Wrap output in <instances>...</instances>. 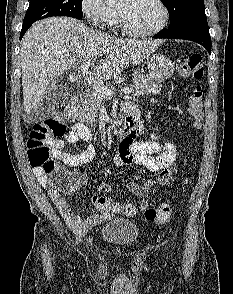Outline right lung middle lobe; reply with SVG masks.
I'll use <instances>...</instances> for the list:
<instances>
[{"mask_svg": "<svg viewBox=\"0 0 233 294\" xmlns=\"http://www.w3.org/2000/svg\"><path fill=\"white\" fill-rule=\"evenodd\" d=\"M82 0H30L23 26L51 16L82 18Z\"/></svg>", "mask_w": 233, "mask_h": 294, "instance_id": "1", "label": "right lung middle lobe"}]
</instances>
